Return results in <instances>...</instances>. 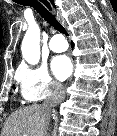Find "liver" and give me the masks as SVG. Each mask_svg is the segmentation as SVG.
<instances>
[{"mask_svg": "<svg viewBox=\"0 0 117 136\" xmlns=\"http://www.w3.org/2000/svg\"><path fill=\"white\" fill-rule=\"evenodd\" d=\"M49 119L50 112L43 105L24 107L7 118L2 136H44Z\"/></svg>", "mask_w": 117, "mask_h": 136, "instance_id": "1", "label": "liver"}]
</instances>
